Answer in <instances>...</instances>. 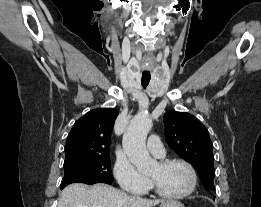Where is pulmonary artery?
Wrapping results in <instances>:
<instances>
[{"label": "pulmonary artery", "mask_w": 261, "mask_h": 207, "mask_svg": "<svg viewBox=\"0 0 261 207\" xmlns=\"http://www.w3.org/2000/svg\"><path fill=\"white\" fill-rule=\"evenodd\" d=\"M147 148L151 154L154 156L161 158L165 155L164 147L156 135H151L147 140Z\"/></svg>", "instance_id": "obj_1"}]
</instances>
